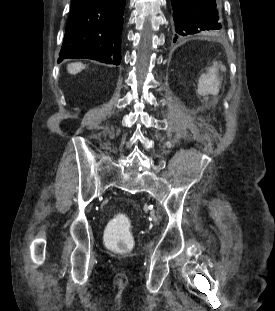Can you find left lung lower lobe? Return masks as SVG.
<instances>
[{
	"label": "left lung lower lobe",
	"mask_w": 275,
	"mask_h": 311,
	"mask_svg": "<svg viewBox=\"0 0 275 311\" xmlns=\"http://www.w3.org/2000/svg\"><path fill=\"white\" fill-rule=\"evenodd\" d=\"M173 41L192 34H214L222 30L219 0H171Z\"/></svg>",
	"instance_id": "1"
}]
</instances>
